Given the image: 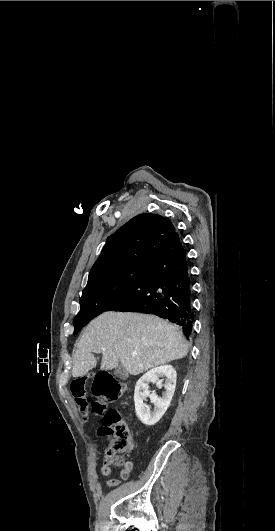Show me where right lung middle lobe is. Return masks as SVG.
Masks as SVG:
<instances>
[{
	"label": "right lung middle lobe",
	"instance_id": "obj_1",
	"mask_svg": "<svg viewBox=\"0 0 275 531\" xmlns=\"http://www.w3.org/2000/svg\"><path fill=\"white\" fill-rule=\"evenodd\" d=\"M145 267L146 265L126 267L88 282L80 298V311L74 318V334L116 304L137 282Z\"/></svg>",
	"mask_w": 275,
	"mask_h": 531
}]
</instances>
